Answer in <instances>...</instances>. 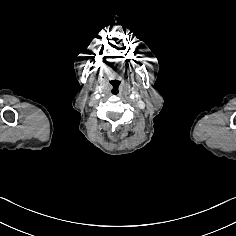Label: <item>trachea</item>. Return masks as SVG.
Instances as JSON below:
<instances>
[{"label": "trachea", "mask_w": 236, "mask_h": 236, "mask_svg": "<svg viewBox=\"0 0 236 236\" xmlns=\"http://www.w3.org/2000/svg\"><path fill=\"white\" fill-rule=\"evenodd\" d=\"M109 88H110L111 94L114 95V96L119 95L122 91L121 86L116 81L111 82L110 85H109Z\"/></svg>", "instance_id": "trachea-1"}]
</instances>
